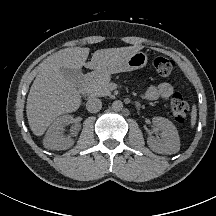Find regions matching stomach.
I'll return each instance as SVG.
<instances>
[{"label": "stomach", "instance_id": "0dacf381", "mask_svg": "<svg viewBox=\"0 0 216 216\" xmlns=\"http://www.w3.org/2000/svg\"><path fill=\"white\" fill-rule=\"evenodd\" d=\"M147 60L148 58L145 53L137 51L119 64L111 67L96 69L92 74L93 76L98 77L119 72L134 71L143 68L147 64Z\"/></svg>", "mask_w": 216, "mask_h": 216}]
</instances>
